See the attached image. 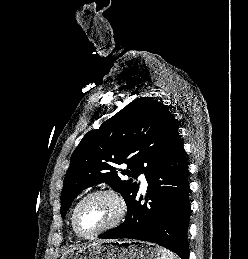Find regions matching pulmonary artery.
<instances>
[{"label": "pulmonary artery", "mask_w": 248, "mask_h": 259, "mask_svg": "<svg viewBox=\"0 0 248 259\" xmlns=\"http://www.w3.org/2000/svg\"><path fill=\"white\" fill-rule=\"evenodd\" d=\"M139 179L141 181L142 187L146 188L148 184H147L145 176L144 175H140Z\"/></svg>", "instance_id": "obj_1"}]
</instances>
